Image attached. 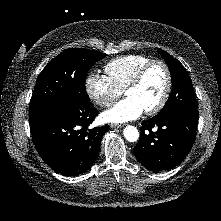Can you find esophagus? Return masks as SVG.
Here are the masks:
<instances>
[{"mask_svg": "<svg viewBox=\"0 0 221 221\" xmlns=\"http://www.w3.org/2000/svg\"><path fill=\"white\" fill-rule=\"evenodd\" d=\"M124 125L123 124H111V128H122Z\"/></svg>", "mask_w": 221, "mask_h": 221, "instance_id": "34e87169", "label": "esophagus"}]
</instances>
